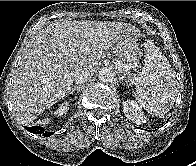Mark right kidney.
Masks as SVG:
<instances>
[{
  "mask_svg": "<svg viewBox=\"0 0 196 166\" xmlns=\"http://www.w3.org/2000/svg\"><path fill=\"white\" fill-rule=\"evenodd\" d=\"M68 105L69 102H64L60 104L59 107L54 111V115L58 117V116H62L63 114H66L69 109Z\"/></svg>",
  "mask_w": 196,
  "mask_h": 166,
  "instance_id": "right-kidney-1",
  "label": "right kidney"
}]
</instances>
